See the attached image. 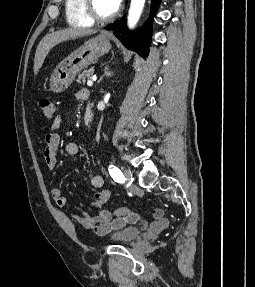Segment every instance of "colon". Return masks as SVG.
<instances>
[{"instance_id": "obj_1", "label": "colon", "mask_w": 255, "mask_h": 287, "mask_svg": "<svg viewBox=\"0 0 255 287\" xmlns=\"http://www.w3.org/2000/svg\"><path fill=\"white\" fill-rule=\"evenodd\" d=\"M43 116L51 119L55 112V104L49 99H42L39 103ZM131 213L129 207H120L114 211L116 217H124Z\"/></svg>"}]
</instances>
